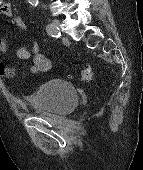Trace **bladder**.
<instances>
[{"instance_id":"31cf9c89","label":"bladder","mask_w":143,"mask_h":170,"mask_svg":"<svg viewBox=\"0 0 143 170\" xmlns=\"http://www.w3.org/2000/svg\"><path fill=\"white\" fill-rule=\"evenodd\" d=\"M78 104L74 86L59 79H48L29 96L32 113L47 117H64Z\"/></svg>"}]
</instances>
